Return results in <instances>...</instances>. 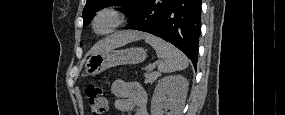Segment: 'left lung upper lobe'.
Masks as SVG:
<instances>
[{
    "label": "left lung upper lobe",
    "instance_id": "obj_1",
    "mask_svg": "<svg viewBox=\"0 0 285 115\" xmlns=\"http://www.w3.org/2000/svg\"><path fill=\"white\" fill-rule=\"evenodd\" d=\"M141 0H87L86 5L83 10V26H87L91 20L93 14L106 7V6H122L123 12L126 16H129L138 6Z\"/></svg>",
    "mask_w": 285,
    "mask_h": 115
}]
</instances>
